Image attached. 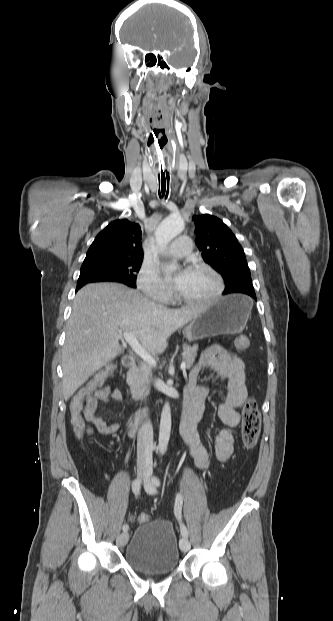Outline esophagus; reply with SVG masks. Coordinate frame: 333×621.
Segmentation results:
<instances>
[{"mask_svg": "<svg viewBox=\"0 0 333 621\" xmlns=\"http://www.w3.org/2000/svg\"><path fill=\"white\" fill-rule=\"evenodd\" d=\"M176 185H177V181H176V178L174 177L173 182H172V188L176 189Z\"/></svg>", "mask_w": 333, "mask_h": 621, "instance_id": "1", "label": "esophagus"}]
</instances>
